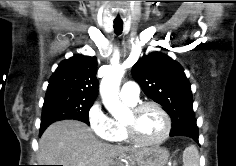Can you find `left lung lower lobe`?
Masks as SVG:
<instances>
[{
  "label": "left lung lower lobe",
  "instance_id": "1",
  "mask_svg": "<svg viewBox=\"0 0 236 166\" xmlns=\"http://www.w3.org/2000/svg\"><path fill=\"white\" fill-rule=\"evenodd\" d=\"M170 136H187L198 142V127L196 120L172 125Z\"/></svg>",
  "mask_w": 236,
  "mask_h": 166
}]
</instances>
